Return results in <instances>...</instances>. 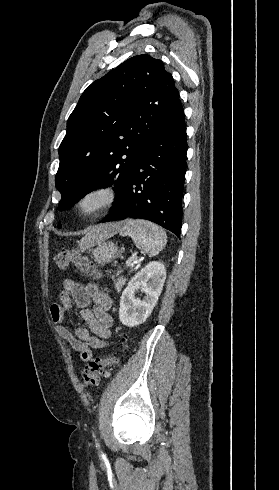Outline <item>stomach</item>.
Listing matches in <instances>:
<instances>
[{"mask_svg":"<svg viewBox=\"0 0 279 490\" xmlns=\"http://www.w3.org/2000/svg\"><path fill=\"white\" fill-rule=\"evenodd\" d=\"M120 250L114 242H105V240H100L96 242V248L91 250V256L99 266H106V264H111L116 258H118Z\"/></svg>","mask_w":279,"mask_h":490,"instance_id":"0dacf381","label":"stomach"}]
</instances>
